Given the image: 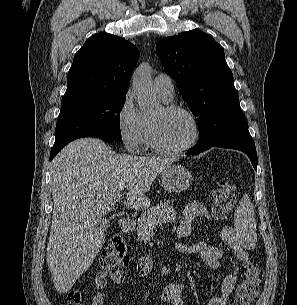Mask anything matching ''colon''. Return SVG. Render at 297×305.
<instances>
[{
    "instance_id": "colon-1",
    "label": "colon",
    "mask_w": 297,
    "mask_h": 305,
    "mask_svg": "<svg viewBox=\"0 0 297 305\" xmlns=\"http://www.w3.org/2000/svg\"><path fill=\"white\" fill-rule=\"evenodd\" d=\"M235 203L234 185L221 179L213 193L212 217L215 221L225 220ZM128 260L126 241L122 234H114L108 241L100 260V273H111L126 264ZM245 278L237 287L228 305H251L256 299L262 285V272L255 263H248L245 267ZM99 273V274H100ZM67 305H84L78 292L68 294Z\"/></svg>"
}]
</instances>
